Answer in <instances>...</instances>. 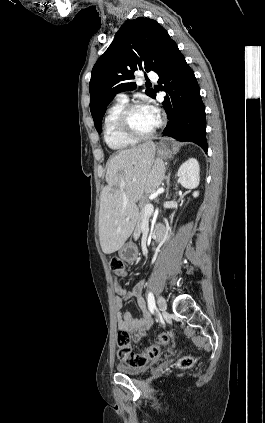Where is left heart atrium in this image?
Masks as SVG:
<instances>
[{
  "label": "left heart atrium",
  "instance_id": "obj_1",
  "mask_svg": "<svg viewBox=\"0 0 265 423\" xmlns=\"http://www.w3.org/2000/svg\"><path fill=\"white\" fill-rule=\"evenodd\" d=\"M150 112L152 113V115L158 120L159 119V112L158 110L153 107V106H148Z\"/></svg>",
  "mask_w": 265,
  "mask_h": 423
}]
</instances>
